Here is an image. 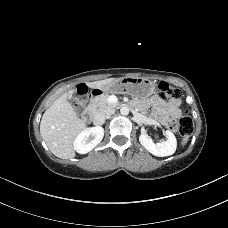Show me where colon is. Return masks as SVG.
Masks as SVG:
<instances>
[{"label": "colon", "mask_w": 228, "mask_h": 228, "mask_svg": "<svg viewBox=\"0 0 228 228\" xmlns=\"http://www.w3.org/2000/svg\"><path fill=\"white\" fill-rule=\"evenodd\" d=\"M158 96L161 100H175L182 96L181 91L168 82H160L158 85ZM88 102V90L84 84L76 87L74 103L78 107H83ZM193 120L185 113L177 121H171L170 127L177 128L183 136L189 135L193 130Z\"/></svg>", "instance_id": "colon-1"}]
</instances>
